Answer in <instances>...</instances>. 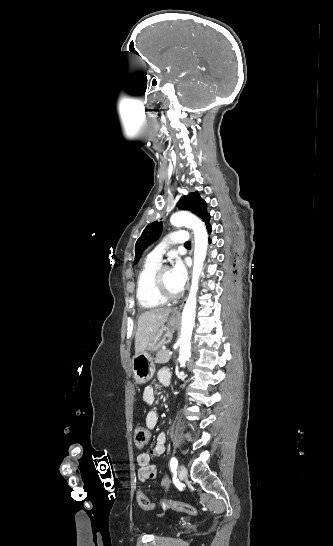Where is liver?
<instances>
[{"label": "liver", "mask_w": 333, "mask_h": 546, "mask_svg": "<svg viewBox=\"0 0 333 546\" xmlns=\"http://www.w3.org/2000/svg\"><path fill=\"white\" fill-rule=\"evenodd\" d=\"M171 312L172 309L170 308H156L145 311L139 316L135 335V354L146 350L159 328L167 321Z\"/></svg>", "instance_id": "1"}]
</instances>
